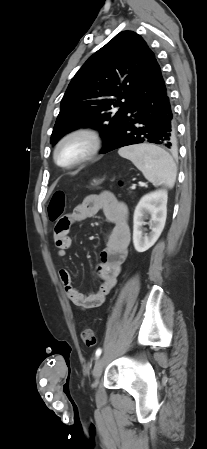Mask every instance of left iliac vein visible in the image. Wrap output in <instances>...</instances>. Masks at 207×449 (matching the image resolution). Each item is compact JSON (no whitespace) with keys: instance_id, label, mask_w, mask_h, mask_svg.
Segmentation results:
<instances>
[{"instance_id":"4c4485c4","label":"left iliac vein","mask_w":207,"mask_h":449,"mask_svg":"<svg viewBox=\"0 0 207 449\" xmlns=\"http://www.w3.org/2000/svg\"><path fill=\"white\" fill-rule=\"evenodd\" d=\"M106 365V358L104 356L98 358V360L95 362L92 375L95 378L94 386L97 385L98 379L102 375L103 369Z\"/></svg>"}]
</instances>
